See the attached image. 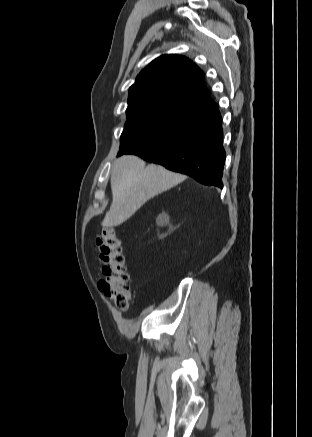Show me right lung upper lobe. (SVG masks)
<instances>
[{
    "label": "right lung upper lobe",
    "mask_w": 312,
    "mask_h": 437,
    "mask_svg": "<svg viewBox=\"0 0 312 437\" xmlns=\"http://www.w3.org/2000/svg\"><path fill=\"white\" fill-rule=\"evenodd\" d=\"M165 104L201 112L215 102L204 86L203 72L188 58L174 54L153 60L129 88L128 107Z\"/></svg>",
    "instance_id": "right-lung-upper-lobe-1"
}]
</instances>
